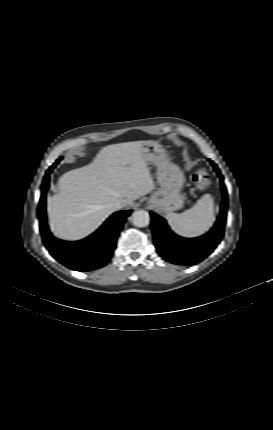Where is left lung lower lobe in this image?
Wrapping results in <instances>:
<instances>
[{
	"label": "left lung lower lobe",
	"instance_id": "left-lung-lower-lobe-1",
	"mask_svg": "<svg viewBox=\"0 0 273 430\" xmlns=\"http://www.w3.org/2000/svg\"><path fill=\"white\" fill-rule=\"evenodd\" d=\"M215 171L220 176L221 182L224 178L217 165L210 160ZM223 202L220 215L214 227L205 235L197 238H183L174 234L167 226L166 221L151 213L153 239L158 253L167 261L178 265H192L204 260L220 243L226 223L228 194L223 186Z\"/></svg>",
	"mask_w": 273,
	"mask_h": 430
}]
</instances>
